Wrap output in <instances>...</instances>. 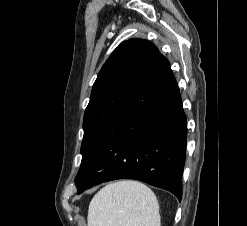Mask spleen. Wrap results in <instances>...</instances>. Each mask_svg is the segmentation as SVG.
Returning a JSON list of instances; mask_svg holds the SVG:
<instances>
[{
    "mask_svg": "<svg viewBox=\"0 0 247 226\" xmlns=\"http://www.w3.org/2000/svg\"><path fill=\"white\" fill-rule=\"evenodd\" d=\"M88 226H160L153 191L138 181H119L102 188L91 200Z\"/></svg>",
    "mask_w": 247,
    "mask_h": 226,
    "instance_id": "obj_1",
    "label": "spleen"
}]
</instances>
